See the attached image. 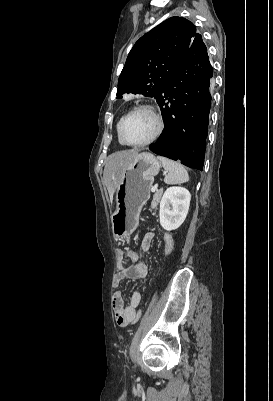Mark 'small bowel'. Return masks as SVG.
Wrapping results in <instances>:
<instances>
[{
  "instance_id": "small-bowel-1",
  "label": "small bowel",
  "mask_w": 273,
  "mask_h": 401,
  "mask_svg": "<svg viewBox=\"0 0 273 401\" xmlns=\"http://www.w3.org/2000/svg\"><path fill=\"white\" fill-rule=\"evenodd\" d=\"M154 241V234L149 232L142 241V249L148 251ZM166 253H170L174 247V239L171 234H165ZM126 261L130 264L125 265ZM117 272L114 285L118 287L126 279H138L141 271H148L147 266L139 261V254L132 249L119 248L117 250ZM142 299V294L135 291L131 294L128 304H125L122 293L116 291L113 295V308L118 325L126 326L136 323L141 312L137 309Z\"/></svg>"
}]
</instances>
